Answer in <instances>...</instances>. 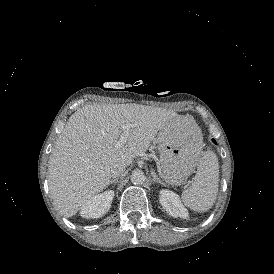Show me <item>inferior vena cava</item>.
Returning a JSON list of instances; mask_svg holds the SVG:
<instances>
[{"instance_id":"obj_1","label":"inferior vena cava","mask_w":274,"mask_h":274,"mask_svg":"<svg viewBox=\"0 0 274 274\" xmlns=\"http://www.w3.org/2000/svg\"><path fill=\"white\" fill-rule=\"evenodd\" d=\"M126 170L125 165H117L116 168L113 171L114 178L121 176Z\"/></svg>"}]
</instances>
